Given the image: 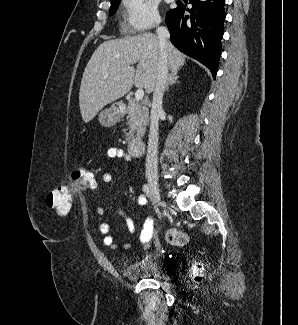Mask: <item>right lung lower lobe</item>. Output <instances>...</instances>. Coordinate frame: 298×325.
<instances>
[{
    "label": "right lung lower lobe",
    "instance_id": "1",
    "mask_svg": "<svg viewBox=\"0 0 298 325\" xmlns=\"http://www.w3.org/2000/svg\"><path fill=\"white\" fill-rule=\"evenodd\" d=\"M189 3L191 9L178 5L166 16L171 42L208 67L215 78L221 54L225 0H190ZM186 10L190 16L184 15Z\"/></svg>",
    "mask_w": 298,
    "mask_h": 325
}]
</instances>
